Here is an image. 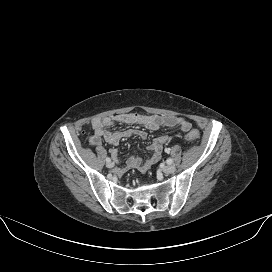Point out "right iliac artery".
<instances>
[{
    "instance_id": "obj_1",
    "label": "right iliac artery",
    "mask_w": 272,
    "mask_h": 272,
    "mask_svg": "<svg viewBox=\"0 0 272 272\" xmlns=\"http://www.w3.org/2000/svg\"><path fill=\"white\" fill-rule=\"evenodd\" d=\"M106 162H111V159L109 157L106 158Z\"/></svg>"
}]
</instances>
